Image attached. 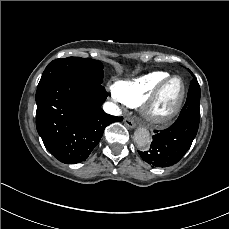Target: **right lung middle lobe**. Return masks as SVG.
I'll return each mask as SVG.
<instances>
[{
    "label": "right lung middle lobe",
    "instance_id": "dd1d6c3e",
    "mask_svg": "<svg viewBox=\"0 0 229 229\" xmlns=\"http://www.w3.org/2000/svg\"><path fill=\"white\" fill-rule=\"evenodd\" d=\"M61 76H80L102 83L103 64L97 60L80 57L53 60L44 70L38 87Z\"/></svg>",
    "mask_w": 229,
    "mask_h": 229
}]
</instances>
